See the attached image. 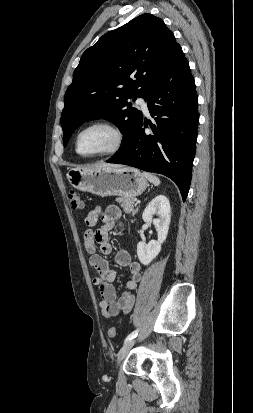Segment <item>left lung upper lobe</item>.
Instances as JSON below:
<instances>
[{"label": "left lung upper lobe", "mask_w": 253, "mask_h": 413, "mask_svg": "<svg viewBox=\"0 0 253 413\" xmlns=\"http://www.w3.org/2000/svg\"><path fill=\"white\" fill-rule=\"evenodd\" d=\"M179 48L162 19L151 14L104 34L83 53L65 93L61 116L64 146L81 124L104 117L124 134L120 151L124 150L143 118L128 100L148 98Z\"/></svg>", "instance_id": "obj_1"}]
</instances>
